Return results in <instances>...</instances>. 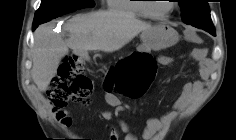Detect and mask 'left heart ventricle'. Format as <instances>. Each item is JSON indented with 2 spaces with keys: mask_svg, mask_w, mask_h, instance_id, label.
I'll list each match as a JSON object with an SVG mask.
<instances>
[{
  "mask_svg": "<svg viewBox=\"0 0 236 140\" xmlns=\"http://www.w3.org/2000/svg\"><path fill=\"white\" fill-rule=\"evenodd\" d=\"M170 3L172 2H167L163 0H154V2L151 4V8L155 13L163 14L170 9L171 7Z\"/></svg>",
  "mask_w": 236,
  "mask_h": 140,
  "instance_id": "left-heart-ventricle-1",
  "label": "left heart ventricle"
}]
</instances>
